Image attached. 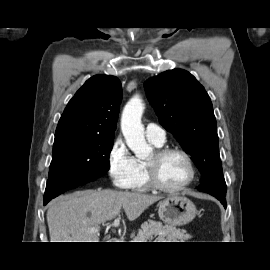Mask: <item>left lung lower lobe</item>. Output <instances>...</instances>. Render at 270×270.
Returning a JSON list of instances; mask_svg holds the SVG:
<instances>
[{"label":"left lung lower lobe","instance_id":"left-lung-lower-lobe-1","mask_svg":"<svg viewBox=\"0 0 270 270\" xmlns=\"http://www.w3.org/2000/svg\"><path fill=\"white\" fill-rule=\"evenodd\" d=\"M198 190L213 195L223 204L224 208H226L227 204L225 199V193L227 191V187L223 175L215 176L203 182L198 187Z\"/></svg>","mask_w":270,"mask_h":270}]
</instances>
